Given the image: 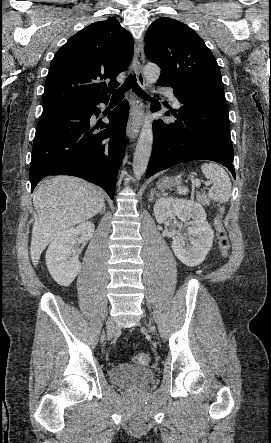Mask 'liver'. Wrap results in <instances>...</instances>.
<instances>
[{
    "label": "liver",
    "instance_id": "1",
    "mask_svg": "<svg viewBox=\"0 0 271 443\" xmlns=\"http://www.w3.org/2000/svg\"><path fill=\"white\" fill-rule=\"evenodd\" d=\"M37 218L33 223L30 255L34 267L48 243L62 231L86 222L105 208L97 188L80 178L57 176L38 184L33 194Z\"/></svg>",
    "mask_w": 271,
    "mask_h": 443
}]
</instances>
